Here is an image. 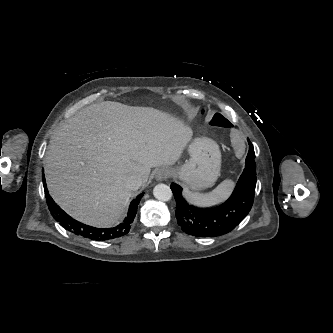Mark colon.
Instances as JSON below:
<instances>
[{"mask_svg": "<svg viewBox=\"0 0 333 333\" xmlns=\"http://www.w3.org/2000/svg\"><path fill=\"white\" fill-rule=\"evenodd\" d=\"M202 114L205 115L206 112L203 110ZM208 122L211 126L218 127V128H231L232 125L230 124L229 120L225 118L220 113H211L207 114Z\"/></svg>", "mask_w": 333, "mask_h": 333, "instance_id": "colon-1", "label": "colon"}]
</instances>
